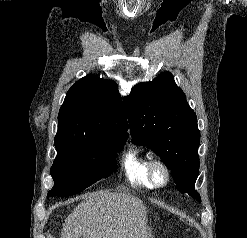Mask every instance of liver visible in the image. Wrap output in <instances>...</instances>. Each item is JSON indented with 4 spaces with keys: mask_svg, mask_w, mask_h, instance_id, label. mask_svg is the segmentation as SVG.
<instances>
[{
    "mask_svg": "<svg viewBox=\"0 0 247 238\" xmlns=\"http://www.w3.org/2000/svg\"><path fill=\"white\" fill-rule=\"evenodd\" d=\"M146 215L132 195L90 193L65 219L61 238H151Z\"/></svg>",
    "mask_w": 247,
    "mask_h": 238,
    "instance_id": "liver-1",
    "label": "liver"
}]
</instances>
